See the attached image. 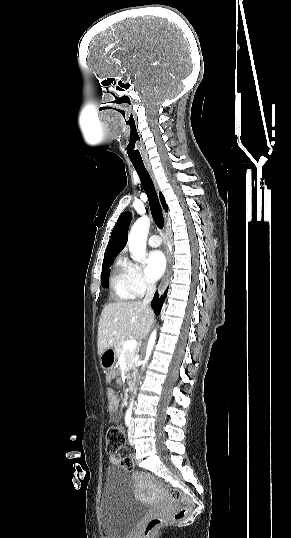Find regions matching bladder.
Listing matches in <instances>:
<instances>
[{"label":"bladder","mask_w":291,"mask_h":538,"mask_svg":"<svg viewBox=\"0 0 291 538\" xmlns=\"http://www.w3.org/2000/svg\"><path fill=\"white\" fill-rule=\"evenodd\" d=\"M148 511L149 506L134 497L129 473L118 466L108 467L99 502V524L105 538H126Z\"/></svg>","instance_id":"1"}]
</instances>
